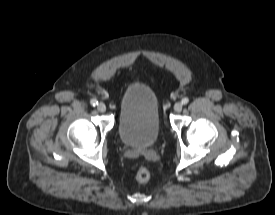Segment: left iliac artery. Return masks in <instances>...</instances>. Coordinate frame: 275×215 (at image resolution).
Returning a JSON list of instances; mask_svg holds the SVG:
<instances>
[{
    "mask_svg": "<svg viewBox=\"0 0 275 215\" xmlns=\"http://www.w3.org/2000/svg\"><path fill=\"white\" fill-rule=\"evenodd\" d=\"M189 102V99L187 97H184L182 100H181V103L182 104H187Z\"/></svg>",
    "mask_w": 275,
    "mask_h": 215,
    "instance_id": "44dca946",
    "label": "left iliac artery"
}]
</instances>
